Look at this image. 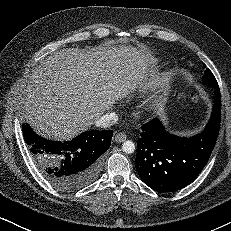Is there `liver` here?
<instances>
[{"label":"liver","instance_id":"1","mask_svg":"<svg viewBox=\"0 0 231 231\" xmlns=\"http://www.w3.org/2000/svg\"><path fill=\"white\" fill-rule=\"evenodd\" d=\"M154 63L144 47L103 45L56 51L35 67L25 86V118L37 133L69 140L117 101L150 87Z\"/></svg>","mask_w":231,"mask_h":231}]
</instances>
